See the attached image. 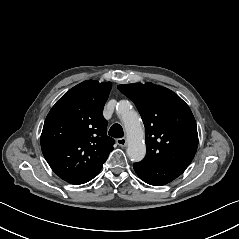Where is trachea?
Returning <instances> with one entry per match:
<instances>
[{
	"instance_id": "obj_1",
	"label": "trachea",
	"mask_w": 239,
	"mask_h": 239,
	"mask_svg": "<svg viewBox=\"0 0 239 239\" xmlns=\"http://www.w3.org/2000/svg\"><path fill=\"white\" fill-rule=\"evenodd\" d=\"M108 134L114 138H121L124 136V132H123L122 126H120V124H113L111 126V128L109 129Z\"/></svg>"
}]
</instances>
